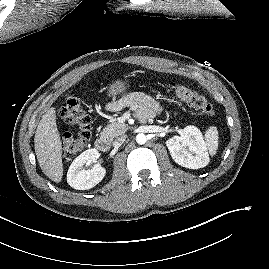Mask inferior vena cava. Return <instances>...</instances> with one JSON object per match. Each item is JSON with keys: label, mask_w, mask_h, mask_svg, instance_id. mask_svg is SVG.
<instances>
[{"label": "inferior vena cava", "mask_w": 269, "mask_h": 269, "mask_svg": "<svg viewBox=\"0 0 269 269\" xmlns=\"http://www.w3.org/2000/svg\"><path fill=\"white\" fill-rule=\"evenodd\" d=\"M125 139H126V136H121V137H119L118 139H116V141H114L113 146H114L115 148L120 147L121 144L125 141Z\"/></svg>", "instance_id": "602c4592"}]
</instances>
